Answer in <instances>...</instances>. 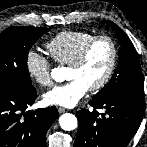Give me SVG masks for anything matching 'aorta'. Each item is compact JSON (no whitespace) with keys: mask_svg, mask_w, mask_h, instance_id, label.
I'll list each match as a JSON object with an SVG mask.
<instances>
[{"mask_svg":"<svg viewBox=\"0 0 147 147\" xmlns=\"http://www.w3.org/2000/svg\"><path fill=\"white\" fill-rule=\"evenodd\" d=\"M51 77L56 82H63L66 79L65 69L63 67L52 69ZM59 124L63 130L71 131L77 127V118L73 114L65 113L60 116Z\"/></svg>","mask_w":147,"mask_h":147,"instance_id":"1","label":"aorta"}]
</instances>
